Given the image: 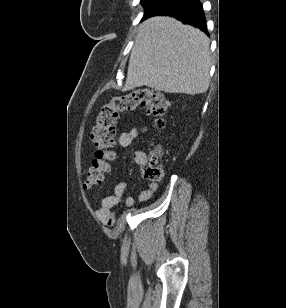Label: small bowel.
<instances>
[{"label":"small bowel","instance_id":"1","mask_svg":"<svg viewBox=\"0 0 286 308\" xmlns=\"http://www.w3.org/2000/svg\"><path fill=\"white\" fill-rule=\"evenodd\" d=\"M147 132L148 130L145 126L125 130L119 136L118 145L122 149H127L133 144V142L137 138L145 136ZM134 159L137 164H143V162L146 160V154L142 150H136L134 152ZM125 189V183H117L113 188V192L101 201L96 214L97 217L105 224L111 225L114 223L115 213L112 209L124 197ZM156 189L157 185L155 183H151L148 189L143 190L139 194V201L145 202L149 200L152 197L153 193L156 191ZM125 203L126 205L131 206L135 203V200L131 197H127L125 199Z\"/></svg>","mask_w":286,"mask_h":308}]
</instances>
